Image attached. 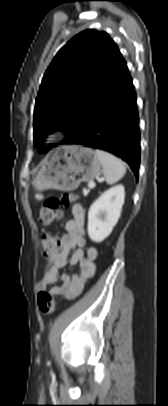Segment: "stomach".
<instances>
[{"instance_id": "0dacf381", "label": "stomach", "mask_w": 168, "mask_h": 406, "mask_svg": "<svg viewBox=\"0 0 168 406\" xmlns=\"http://www.w3.org/2000/svg\"><path fill=\"white\" fill-rule=\"evenodd\" d=\"M101 173L94 150L78 145L63 146L41 167L32 185L37 190L73 191L81 182H90Z\"/></svg>"}]
</instances>
